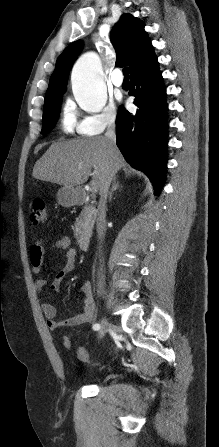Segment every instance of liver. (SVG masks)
Wrapping results in <instances>:
<instances>
[{
  "instance_id": "6515ba94",
  "label": "liver",
  "mask_w": 219,
  "mask_h": 447,
  "mask_svg": "<svg viewBox=\"0 0 219 447\" xmlns=\"http://www.w3.org/2000/svg\"><path fill=\"white\" fill-rule=\"evenodd\" d=\"M124 165L119 149L115 146L110 153L106 138L99 136L53 143L35 163L32 175L35 179L74 187L85 183L94 168L93 181L100 190L111 167L117 172Z\"/></svg>"
}]
</instances>
